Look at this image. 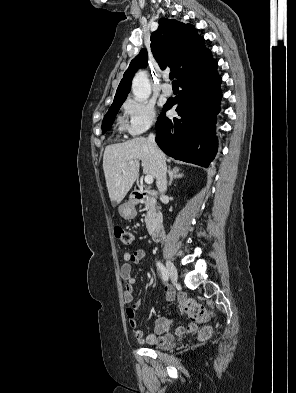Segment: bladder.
I'll return each instance as SVG.
<instances>
[{"mask_svg":"<svg viewBox=\"0 0 296 393\" xmlns=\"http://www.w3.org/2000/svg\"><path fill=\"white\" fill-rule=\"evenodd\" d=\"M172 347H173V342L171 341V342H169L166 345H163V346H160V347H155V348L156 349H160V350H168V349H170Z\"/></svg>","mask_w":296,"mask_h":393,"instance_id":"1","label":"bladder"}]
</instances>
